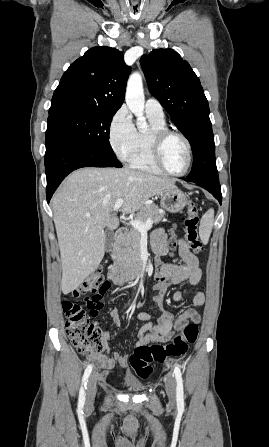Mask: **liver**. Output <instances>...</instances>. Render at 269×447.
Wrapping results in <instances>:
<instances>
[{
    "instance_id": "liver-1",
    "label": "liver",
    "mask_w": 269,
    "mask_h": 447,
    "mask_svg": "<svg viewBox=\"0 0 269 447\" xmlns=\"http://www.w3.org/2000/svg\"><path fill=\"white\" fill-rule=\"evenodd\" d=\"M176 188L169 180L128 168H81L61 184L53 198L63 293L76 289L97 269L105 251V231L116 229L111 214L123 200L122 214H134L152 196ZM90 216V218H87Z\"/></svg>"
}]
</instances>
